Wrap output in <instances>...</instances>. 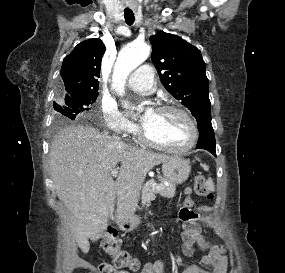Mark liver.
<instances>
[{
	"instance_id": "6515ba94",
	"label": "liver",
	"mask_w": 285,
	"mask_h": 273,
	"mask_svg": "<svg viewBox=\"0 0 285 273\" xmlns=\"http://www.w3.org/2000/svg\"><path fill=\"white\" fill-rule=\"evenodd\" d=\"M139 149L95 128L71 125L53 139L49 165L58 198L75 218L72 231L82 252L108 226L117 198V218L132 219L147 173L169 160ZM120 165L114 181L111 171Z\"/></svg>"
}]
</instances>
